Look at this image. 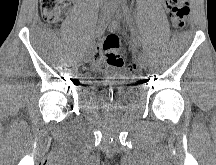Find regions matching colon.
<instances>
[{
    "label": "colon",
    "instance_id": "5ec220e1",
    "mask_svg": "<svg viewBox=\"0 0 216 165\" xmlns=\"http://www.w3.org/2000/svg\"><path fill=\"white\" fill-rule=\"evenodd\" d=\"M170 10V20L175 30L184 27L188 18L190 9L187 0H167ZM40 9L43 19L57 25L61 22L63 16L70 9V0H40ZM101 53L98 55L100 58ZM102 67L120 69L124 65L119 36L112 32L109 33L103 41ZM131 72L137 70L135 64L128 66Z\"/></svg>",
    "mask_w": 216,
    "mask_h": 165
}]
</instances>
